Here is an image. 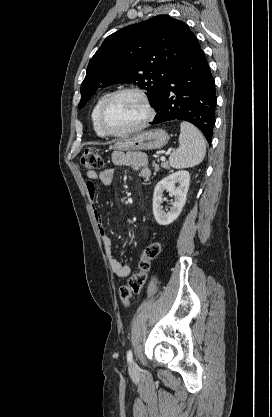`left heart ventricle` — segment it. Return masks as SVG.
<instances>
[{
  "mask_svg": "<svg viewBox=\"0 0 272 417\" xmlns=\"http://www.w3.org/2000/svg\"><path fill=\"white\" fill-rule=\"evenodd\" d=\"M145 115L140 99L132 94H124L110 103L105 112L104 124L109 131L123 132L139 124Z\"/></svg>",
  "mask_w": 272,
  "mask_h": 417,
  "instance_id": "obj_1",
  "label": "left heart ventricle"
}]
</instances>
